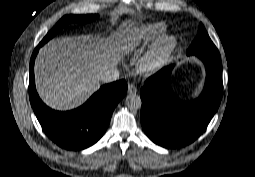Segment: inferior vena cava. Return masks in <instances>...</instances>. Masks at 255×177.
Segmentation results:
<instances>
[{"mask_svg": "<svg viewBox=\"0 0 255 177\" xmlns=\"http://www.w3.org/2000/svg\"><path fill=\"white\" fill-rule=\"evenodd\" d=\"M119 70L116 66H110L101 74L100 78L103 82L109 83L119 79Z\"/></svg>", "mask_w": 255, "mask_h": 177, "instance_id": "obj_1", "label": "inferior vena cava"}]
</instances>
